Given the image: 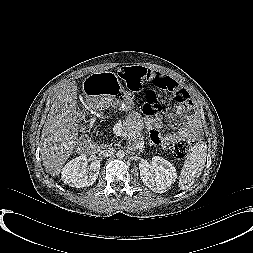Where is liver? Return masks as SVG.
Returning <instances> with one entry per match:
<instances>
[{
    "mask_svg": "<svg viewBox=\"0 0 253 253\" xmlns=\"http://www.w3.org/2000/svg\"><path fill=\"white\" fill-rule=\"evenodd\" d=\"M77 84H64L55 93L41 134V159L48 174L59 175L78 140Z\"/></svg>",
    "mask_w": 253,
    "mask_h": 253,
    "instance_id": "obj_1",
    "label": "liver"
}]
</instances>
